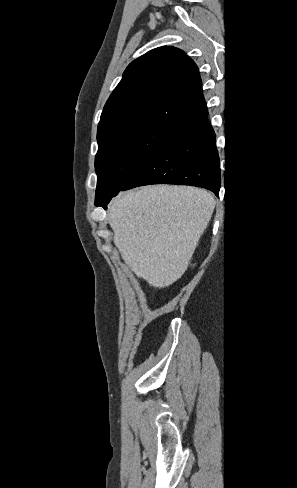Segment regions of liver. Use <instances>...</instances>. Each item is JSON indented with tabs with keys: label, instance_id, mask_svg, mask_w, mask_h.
I'll use <instances>...</instances> for the list:
<instances>
[{
	"label": "liver",
	"instance_id": "liver-1",
	"mask_svg": "<svg viewBox=\"0 0 297 488\" xmlns=\"http://www.w3.org/2000/svg\"><path fill=\"white\" fill-rule=\"evenodd\" d=\"M214 208L210 192L191 186L121 192L109 207L114 244L138 278L169 286L186 271Z\"/></svg>",
	"mask_w": 297,
	"mask_h": 488
}]
</instances>
